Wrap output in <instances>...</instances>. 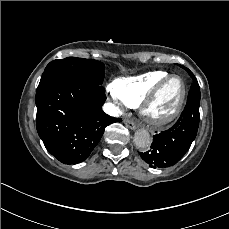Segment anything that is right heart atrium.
Returning a JSON list of instances; mask_svg holds the SVG:
<instances>
[{"label": "right heart atrium", "instance_id": "d8ad5b80", "mask_svg": "<svg viewBox=\"0 0 229 229\" xmlns=\"http://www.w3.org/2000/svg\"><path fill=\"white\" fill-rule=\"evenodd\" d=\"M114 98H115L116 101L121 102V103H124L122 100H120L119 98H117L115 95H114Z\"/></svg>", "mask_w": 229, "mask_h": 229}]
</instances>
